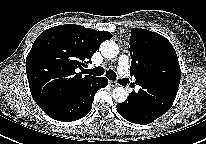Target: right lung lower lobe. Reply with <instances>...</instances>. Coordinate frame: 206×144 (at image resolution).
Here are the masks:
<instances>
[{"mask_svg":"<svg viewBox=\"0 0 206 144\" xmlns=\"http://www.w3.org/2000/svg\"><path fill=\"white\" fill-rule=\"evenodd\" d=\"M107 84L108 80L105 77H96L79 92L42 110L58 121L70 122L79 120L90 112L96 91Z\"/></svg>","mask_w":206,"mask_h":144,"instance_id":"obj_1","label":"right lung lower lobe"}]
</instances>
